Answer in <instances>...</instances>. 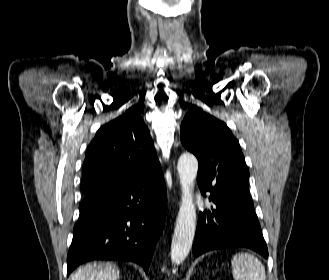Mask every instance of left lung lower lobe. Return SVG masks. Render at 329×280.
I'll list each match as a JSON object with an SVG mask.
<instances>
[{"mask_svg":"<svg viewBox=\"0 0 329 280\" xmlns=\"http://www.w3.org/2000/svg\"><path fill=\"white\" fill-rule=\"evenodd\" d=\"M209 200L214 206L199 214L192 248L195 257L211 250L238 247L249 248L268 257L248 186L221 195L212 194Z\"/></svg>","mask_w":329,"mask_h":280,"instance_id":"0a47b994","label":"left lung lower lobe"}]
</instances>
